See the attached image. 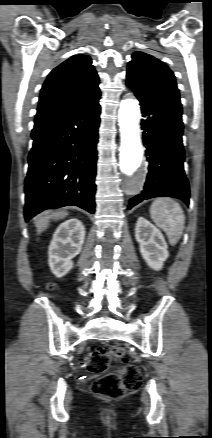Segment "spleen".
Listing matches in <instances>:
<instances>
[{
  "label": "spleen",
  "instance_id": "spleen-1",
  "mask_svg": "<svg viewBox=\"0 0 212 438\" xmlns=\"http://www.w3.org/2000/svg\"><path fill=\"white\" fill-rule=\"evenodd\" d=\"M149 211L153 222L166 233L169 243L176 245L185 225V215L180 204L172 198H157Z\"/></svg>",
  "mask_w": 212,
  "mask_h": 438
}]
</instances>
